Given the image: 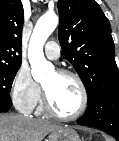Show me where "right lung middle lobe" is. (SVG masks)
<instances>
[{"mask_svg": "<svg viewBox=\"0 0 119 141\" xmlns=\"http://www.w3.org/2000/svg\"><path fill=\"white\" fill-rule=\"evenodd\" d=\"M20 65H0V103L12 105L9 92Z\"/></svg>", "mask_w": 119, "mask_h": 141, "instance_id": "obj_1", "label": "right lung middle lobe"}]
</instances>
